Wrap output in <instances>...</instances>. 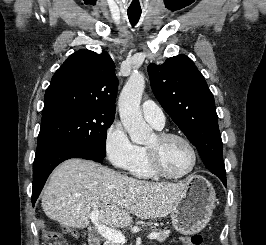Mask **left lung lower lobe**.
<instances>
[{"mask_svg":"<svg viewBox=\"0 0 266 245\" xmlns=\"http://www.w3.org/2000/svg\"><path fill=\"white\" fill-rule=\"evenodd\" d=\"M223 184L226 186V177H219Z\"/></svg>","mask_w":266,"mask_h":245,"instance_id":"1","label":"left lung lower lobe"}]
</instances>
